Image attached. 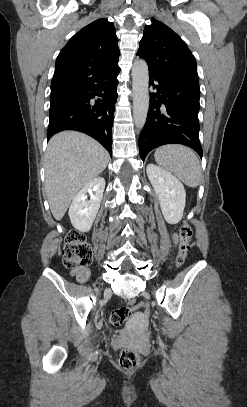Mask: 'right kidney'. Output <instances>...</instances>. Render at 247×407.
Returning a JSON list of instances; mask_svg holds the SVG:
<instances>
[{
	"instance_id": "right-kidney-1",
	"label": "right kidney",
	"mask_w": 247,
	"mask_h": 407,
	"mask_svg": "<svg viewBox=\"0 0 247 407\" xmlns=\"http://www.w3.org/2000/svg\"><path fill=\"white\" fill-rule=\"evenodd\" d=\"M104 188V178L98 177L88 182L73 198L68 214L72 225L78 231L87 232L91 229L102 201ZM88 194L90 200H87Z\"/></svg>"
}]
</instances>
